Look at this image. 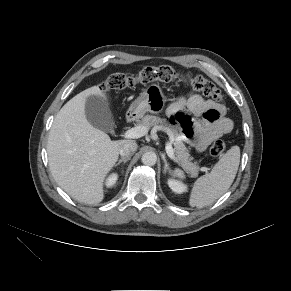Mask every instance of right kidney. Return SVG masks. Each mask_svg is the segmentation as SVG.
I'll list each match as a JSON object with an SVG mask.
<instances>
[{"label":"right kidney","mask_w":291,"mask_h":291,"mask_svg":"<svg viewBox=\"0 0 291 291\" xmlns=\"http://www.w3.org/2000/svg\"><path fill=\"white\" fill-rule=\"evenodd\" d=\"M117 181V174H112L108 179H107V182H106V185L108 187L110 186H113Z\"/></svg>","instance_id":"1"}]
</instances>
